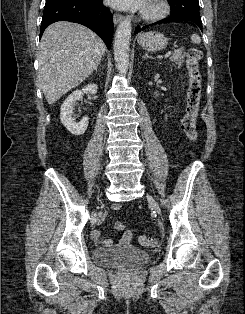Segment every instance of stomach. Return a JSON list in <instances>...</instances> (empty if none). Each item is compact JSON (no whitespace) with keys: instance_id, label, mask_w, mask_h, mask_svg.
<instances>
[{"instance_id":"0dacf381","label":"stomach","mask_w":245,"mask_h":314,"mask_svg":"<svg viewBox=\"0 0 245 314\" xmlns=\"http://www.w3.org/2000/svg\"><path fill=\"white\" fill-rule=\"evenodd\" d=\"M138 43L148 51H160L167 46L168 39L160 32L149 31L139 36Z\"/></svg>"}]
</instances>
